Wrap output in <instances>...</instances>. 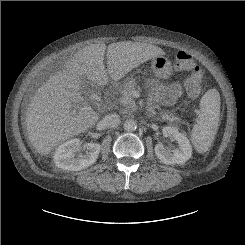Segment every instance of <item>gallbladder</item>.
Instances as JSON below:
<instances>
[{"label":"gallbladder","instance_id":"obj_1","mask_svg":"<svg viewBox=\"0 0 245 245\" xmlns=\"http://www.w3.org/2000/svg\"><path fill=\"white\" fill-rule=\"evenodd\" d=\"M93 87V84L88 81L87 79H83V91H87V90H90L91 88Z\"/></svg>","mask_w":245,"mask_h":245}]
</instances>
